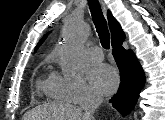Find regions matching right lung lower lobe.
Masks as SVG:
<instances>
[{"label": "right lung lower lobe", "mask_w": 165, "mask_h": 120, "mask_svg": "<svg viewBox=\"0 0 165 120\" xmlns=\"http://www.w3.org/2000/svg\"><path fill=\"white\" fill-rule=\"evenodd\" d=\"M124 39L112 43L113 56L120 71L121 83L117 94L112 98L113 107L123 115L134 108L141 89L145 83V75L136 56L131 50L123 47Z\"/></svg>", "instance_id": "1"}]
</instances>
